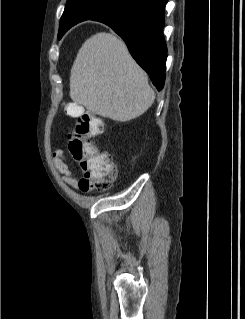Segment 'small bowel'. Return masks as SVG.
Masks as SVG:
<instances>
[{
  "mask_svg": "<svg viewBox=\"0 0 245 319\" xmlns=\"http://www.w3.org/2000/svg\"><path fill=\"white\" fill-rule=\"evenodd\" d=\"M53 162L55 167L63 174V180L73 188L79 187V178L72 173L66 163L64 151L57 148L53 152Z\"/></svg>",
  "mask_w": 245,
  "mask_h": 319,
  "instance_id": "obj_1",
  "label": "small bowel"
}]
</instances>
